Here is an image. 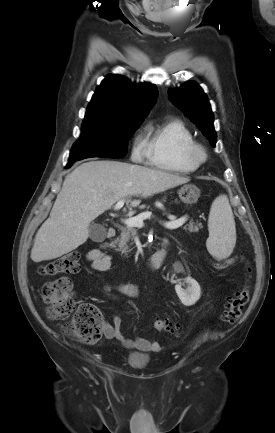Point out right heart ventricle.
<instances>
[{
  "label": "right heart ventricle",
  "instance_id": "1",
  "mask_svg": "<svg viewBox=\"0 0 275 433\" xmlns=\"http://www.w3.org/2000/svg\"><path fill=\"white\" fill-rule=\"evenodd\" d=\"M195 143L193 133L179 119L152 124L145 139L148 163L166 171L193 173L199 165L188 159L187 150Z\"/></svg>",
  "mask_w": 275,
  "mask_h": 433
}]
</instances>
